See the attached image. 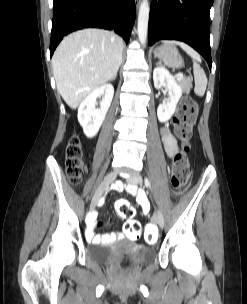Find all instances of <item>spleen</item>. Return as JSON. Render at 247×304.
<instances>
[{
	"mask_svg": "<svg viewBox=\"0 0 247 304\" xmlns=\"http://www.w3.org/2000/svg\"><path fill=\"white\" fill-rule=\"evenodd\" d=\"M186 52L191 55L193 58V75L195 80V88L194 92L196 95L202 97L205 93L206 87H207V77L204 72V70L201 68V66L197 63V54L192 51Z\"/></svg>",
	"mask_w": 247,
	"mask_h": 304,
	"instance_id": "3e777b00",
	"label": "spleen"
}]
</instances>
